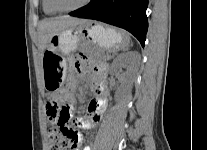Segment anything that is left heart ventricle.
I'll use <instances>...</instances> for the list:
<instances>
[{
  "instance_id": "left-heart-ventricle-1",
  "label": "left heart ventricle",
  "mask_w": 207,
  "mask_h": 150,
  "mask_svg": "<svg viewBox=\"0 0 207 150\" xmlns=\"http://www.w3.org/2000/svg\"><path fill=\"white\" fill-rule=\"evenodd\" d=\"M62 8H72L79 5L83 0H56Z\"/></svg>"
}]
</instances>
